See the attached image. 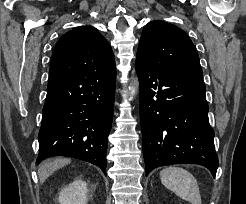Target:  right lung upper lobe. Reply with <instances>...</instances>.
I'll list each match as a JSON object with an SVG mask.
<instances>
[{
  "instance_id": "obj_1",
  "label": "right lung upper lobe",
  "mask_w": 246,
  "mask_h": 204,
  "mask_svg": "<svg viewBox=\"0 0 246 204\" xmlns=\"http://www.w3.org/2000/svg\"><path fill=\"white\" fill-rule=\"evenodd\" d=\"M115 68L113 51L107 40L96 28L84 26L68 31L57 42L49 79Z\"/></svg>"
}]
</instances>
